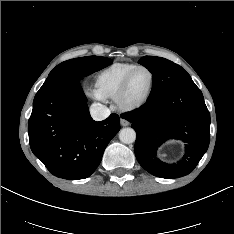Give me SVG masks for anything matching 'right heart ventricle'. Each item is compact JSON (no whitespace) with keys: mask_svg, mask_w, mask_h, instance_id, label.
Segmentation results:
<instances>
[{"mask_svg":"<svg viewBox=\"0 0 234 234\" xmlns=\"http://www.w3.org/2000/svg\"><path fill=\"white\" fill-rule=\"evenodd\" d=\"M137 65L133 63H115L101 70L95 78V87L104 99H115L125 77Z\"/></svg>","mask_w":234,"mask_h":234,"instance_id":"right-heart-ventricle-1","label":"right heart ventricle"}]
</instances>
